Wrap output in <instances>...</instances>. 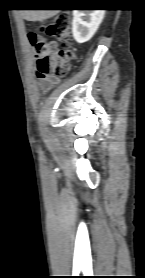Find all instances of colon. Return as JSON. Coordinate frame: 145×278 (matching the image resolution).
I'll list each match as a JSON object with an SVG mask.
<instances>
[{"label": "colon", "mask_w": 145, "mask_h": 278, "mask_svg": "<svg viewBox=\"0 0 145 278\" xmlns=\"http://www.w3.org/2000/svg\"><path fill=\"white\" fill-rule=\"evenodd\" d=\"M70 25V17L67 14H59L40 25L42 32L62 42L61 48H58L52 41L39 39L34 33L28 35L30 45L36 50L39 78L49 77L53 81H59L65 76L74 59V53L68 41Z\"/></svg>", "instance_id": "obj_1"}]
</instances>
